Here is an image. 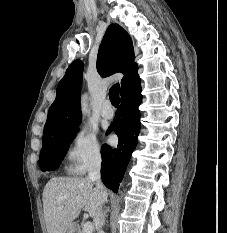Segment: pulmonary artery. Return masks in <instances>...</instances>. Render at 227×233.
<instances>
[{"label": "pulmonary artery", "mask_w": 227, "mask_h": 233, "mask_svg": "<svg viewBox=\"0 0 227 233\" xmlns=\"http://www.w3.org/2000/svg\"><path fill=\"white\" fill-rule=\"evenodd\" d=\"M114 110L112 108L111 102L106 100L103 104L101 115L105 119H112L114 117Z\"/></svg>", "instance_id": "obj_1"}]
</instances>
